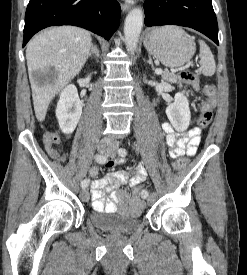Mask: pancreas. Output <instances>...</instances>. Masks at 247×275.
Here are the masks:
<instances>
[{
  "instance_id": "1",
  "label": "pancreas",
  "mask_w": 247,
  "mask_h": 275,
  "mask_svg": "<svg viewBox=\"0 0 247 275\" xmlns=\"http://www.w3.org/2000/svg\"><path fill=\"white\" fill-rule=\"evenodd\" d=\"M161 78L164 80V81H167L169 83H177L178 81V77L175 73L173 72H169L168 70H165L162 74H161Z\"/></svg>"
}]
</instances>
